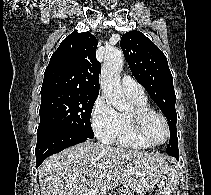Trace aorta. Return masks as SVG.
I'll list each match as a JSON object with an SVG mask.
<instances>
[{
    "instance_id": "obj_1",
    "label": "aorta",
    "mask_w": 211,
    "mask_h": 195,
    "mask_svg": "<svg viewBox=\"0 0 211 195\" xmlns=\"http://www.w3.org/2000/svg\"><path fill=\"white\" fill-rule=\"evenodd\" d=\"M123 67V53L118 48L106 52L101 69L100 84L102 92L111 104L119 111L131 108V102L123 94L120 82V72Z\"/></svg>"
}]
</instances>
